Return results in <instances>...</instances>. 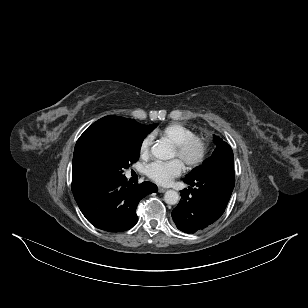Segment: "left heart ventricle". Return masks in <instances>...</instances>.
<instances>
[{
  "label": "left heart ventricle",
  "instance_id": "b2bd125f",
  "mask_svg": "<svg viewBox=\"0 0 308 308\" xmlns=\"http://www.w3.org/2000/svg\"><path fill=\"white\" fill-rule=\"evenodd\" d=\"M197 150H198L197 147H193V148L190 150V152H189V156H190V157L194 156V155L197 153ZM173 156H174V157H177V154H176V151H175V150H174Z\"/></svg>",
  "mask_w": 308,
  "mask_h": 308
}]
</instances>
